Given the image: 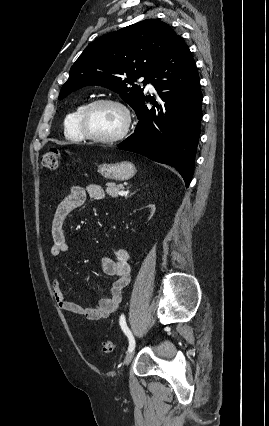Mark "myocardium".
Masks as SVG:
<instances>
[{"label":"myocardium","instance_id":"1","mask_svg":"<svg viewBox=\"0 0 269 426\" xmlns=\"http://www.w3.org/2000/svg\"><path fill=\"white\" fill-rule=\"evenodd\" d=\"M97 105H111L118 108L122 112L124 122H123V126L121 130L118 133L112 136H98L93 134L89 130L88 124H87V118L91 109ZM131 123H132V119H131V114L129 109L122 102L115 99H110V98H98L87 103L85 107L83 108L80 115V119H79L81 131L86 139H90L92 141L105 143V144L116 143L124 139L130 131Z\"/></svg>","mask_w":269,"mask_h":426}]
</instances>
